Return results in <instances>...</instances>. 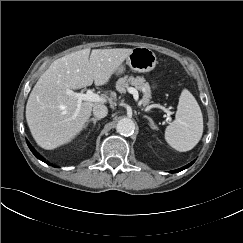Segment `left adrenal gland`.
I'll return each instance as SVG.
<instances>
[{
    "label": "left adrenal gland",
    "mask_w": 243,
    "mask_h": 243,
    "mask_svg": "<svg viewBox=\"0 0 243 243\" xmlns=\"http://www.w3.org/2000/svg\"><path fill=\"white\" fill-rule=\"evenodd\" d=\"M144 117L148 119V121H149V123H150V127H151L152 129H157V126L155 125V123H154V121L152 120V118H150V117L147 116V115H145Z\"/></svg>",
    "instance_id": "a2214340"
}]
</instances>
